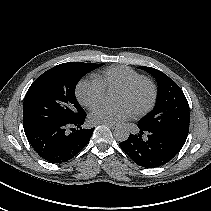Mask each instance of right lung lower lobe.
I'll return each mask as SVG.
<instances>
[{"mask_svg":"<svg viewBox=\"0 0 211 211\" xmlns=\"http://www.w3.org/2000/svg\"><path fill=\"white\" fill-rule=\"evenodd\" d=\"M86 113L67 123H45L24 127L26 137L44 160L63 163L76 156L88 143L94 128L84 129Z\"/></svg>","mask_w":211,"mask_h":211,"instance_id":"right-lung-lower-lobe-1","label":"right lung lower lobe"}]
</instances>
